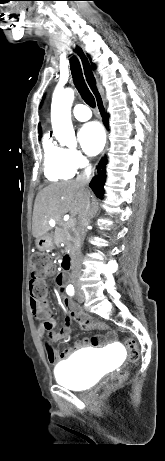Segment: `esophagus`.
<instances>
[{
  "label": "esophagus",
  "instance_id": "34e87169",
  "mask_svg": "<svg viewBox=\"0 0 165 461\" xmlns=\"http://www.w3.org/2000/svg\"><path fill=\"white\" fill-rule=\"evenodd\" d=\"M84 56L80 55V59H81V63H82V67L84 68ZM86 59V58H85ZM97 103V109L98 111L100 112V114L102 116H104V111H103V103L102 101H96ZM108 145L106 146L105 150H104V153L106 152V149H107Z\"/></svg>",
  "mask_w": 165,
  "mask_h": 461
}]
</instances>
